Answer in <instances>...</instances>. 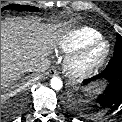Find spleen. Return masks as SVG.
I'll return each instance as SVG.
<instances>
[{
  "instance_id": "1",
  "label": "spleen",
  "mask_w": 122,
  "mask_h": 122,
  "mask_svg": "<svg viewBox=\"0 0 122 122\" xmlns=\"http://www.w3.org/2000/svg\"><path fill=\"white\" fill-rule=\"evenodd\" d=\"M87 91L89 92H95V93H101V89H95V90H91V88H88Z\"/></svg>"
}]
</instances>
